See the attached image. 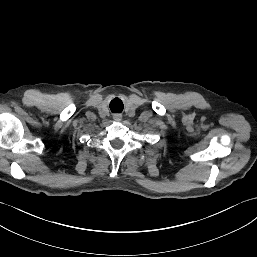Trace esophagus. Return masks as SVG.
<instances>
[{
	"instance_id": "esophagus-1",
	"label": "esophagus",
	"mask_w": 257,
	"mask_h": 257,
	"mask_svg": "<svg viewBox=\"0 0 257 257\" xmlns=\"http://www.w3.org/2000/svg\"><path fill=\"white\" fill-rule=\"evenodd\" d=\"M113 118H114L115 121H121L122 116H121L120 114H115V115L113 116Z\"/></svg>"
}]
</instances>
